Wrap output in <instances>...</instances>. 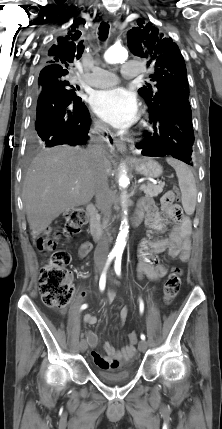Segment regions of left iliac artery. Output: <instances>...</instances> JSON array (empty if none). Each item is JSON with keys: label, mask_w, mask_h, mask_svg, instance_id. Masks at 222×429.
<instances>
[{"label": "left iliac artery", "mask_w": 222, "mask_h": 429, "mask_svg": "<svg viewBox=\"0 0 222 429\" xmlns=\"http://www.w3.org/2000/svg\"><path fill=\"white\" fill-rule=\"evenodd\" d=\"M121 259H122L121 255H117L116 256V260H115V264H114V270H115V273L117 274V276L121 275ZM139 307H140V313H142L143 310H144V303H143V301L141 299H140V305H139ZM140 338L142 340L146 339V337H145L144 334H141Z\"/></svg>", "instance_id": "44dca946"}]
</instances>
